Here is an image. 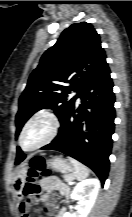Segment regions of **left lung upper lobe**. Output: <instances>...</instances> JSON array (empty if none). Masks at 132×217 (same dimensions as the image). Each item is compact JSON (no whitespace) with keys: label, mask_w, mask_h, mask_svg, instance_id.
I'll return each instance as SVG.
<instances>
[{"label":"left lung upper lobe","mask_w":132,"mask_h":217,"mask_svg":"<svg viewBox=\"0 0 132 217\" xmlns=\"http://www.w3.org/2000/svg\"><path fill=\"white\" fill-rule=\"evenodd\" d=\"M105 60L99 34L90 23H75L65 29L55 45L42 55L20 96L16 136L29 117L40 109H53L61 120L77 97L68 94L79 93Z\"/></svg>","instance_id":"obj_1"}]
</instances>
